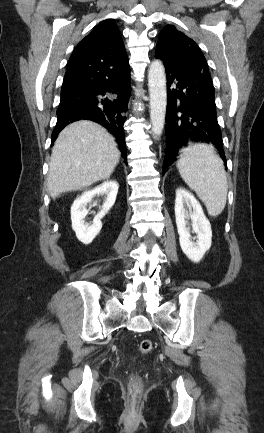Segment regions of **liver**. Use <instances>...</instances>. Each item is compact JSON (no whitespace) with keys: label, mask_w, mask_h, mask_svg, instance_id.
Here are the masks:
<instances>
[{"label":"liver","mask_w":264,"mask_h":433,"mask_svg":"<svg viewBox=\"0 0 264 433\" xmlns=\"http://www.w3.org/2000/svg\"><path fill=\"white\" fill-rule=\"evenodd\" d=\"M114 137L91 121L65 127L52 148L48 190L53 199L110 177L119 162Z\"/></svg>","instance_id":"liver-1"}]
</instances>
